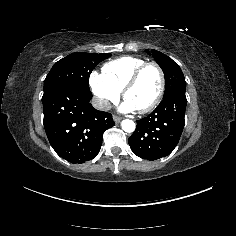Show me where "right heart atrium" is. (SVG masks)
<instances>
[{
	"label": "right heart atrium",
	"instance_id": "obj_1",
	"mask_svg": "<svg viewBox=\"0 0 236 236\" xmlns=\"http://www.w3.org/2000/svg\"><path fill=\"white\" fill-rule=\"evenodd\" d=\"M89 86L100 109H108L110 104L116 102L120 97V92L116 91L97 71L91 72Z\"/></svg>",
	"mask_w": 236,
	"mask_h": 236
}]
</instances>
